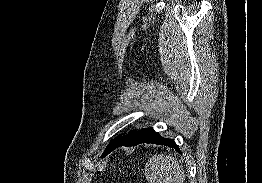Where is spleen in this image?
<instances>
[{
	"instance_id": "obj_1",
	"label": "spleen",
	"mask_w": 262,
	"mask_h": 183,
	"mask_svg": "<svg viewBox=\"0 0 262 183\" xmlns=\"http://www.w3.org/2000/svg\"><path fill=\"white\" fill-rule=\"evenodd\" d=\"M145 177L150 183H183V167L170 155H155L145 166Z\"/></svg>"
}]
</instances>
